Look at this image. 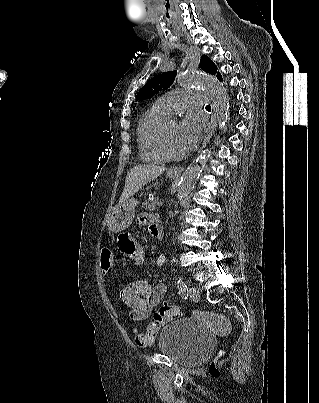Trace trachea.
Listing matches in <instances>:
<instances>
[{
	"label": "trachea",
	"instance_id": "trachea-1",
	"mask_svg": "<svg viewBox=\"0 0 319 403\" xmlns=\"http://www.w3.org/2000/svg\"><path fill=\"white\" fill-rule=\"evenodd\" d=\"M206 109H211V106H210V105H207V106H206Z\"/></svg>",
	"mask_w": 319,
	"mask_h": 403
}]
</instances>
